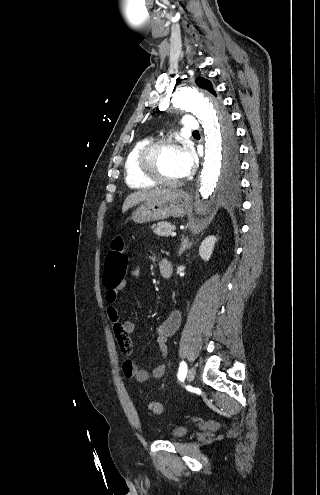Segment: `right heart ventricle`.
<instances>
[{
	"label": "right heart ventricle",
	"instance_id": "1",
	"mask_svg": "<svg viewBox=\"0 0 320 495\" xmlns=\"http://www.w3.org/2000/svg\"><path fill=\"white\" fill-rule=\"evenodd\" d=\"M152 141L144 138L137 141L129 150L124 162V176L126 184L131 188L145 189L155 186V183L143 176L138 169V157L141 150Z\"/></svg>",
	"mask_w": 320,
	"mask_h": 495
}]
</instances>
